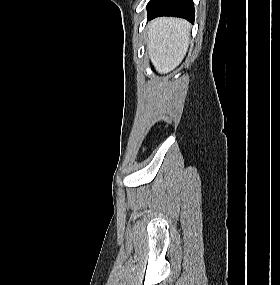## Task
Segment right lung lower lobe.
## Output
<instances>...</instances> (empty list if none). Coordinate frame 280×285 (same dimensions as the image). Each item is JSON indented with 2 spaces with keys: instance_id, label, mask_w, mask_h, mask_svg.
Returning a JSON list of instances; mask_svg holds the SVG:
<instances>
[{
  "instance_id": "obj_1",
  "label": "right lung lower lobe",
  "mask_w": 280,
  "mask_h": 285,
  "mask_svg": "<svg viewBox=\"0 0 280 285\" xmlns=\"http://www.w3.org/2000/svg\"><path fill=\"white\" fill-rule=\"evenodd\" d=\"M147 9L148 20L159 16H175L194 23L193 0H150Z\"/></svg>"
}]
</instances>
